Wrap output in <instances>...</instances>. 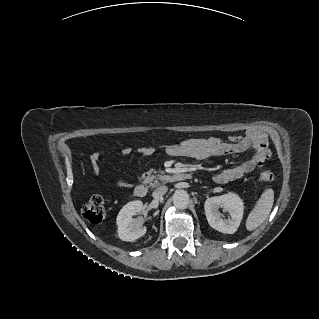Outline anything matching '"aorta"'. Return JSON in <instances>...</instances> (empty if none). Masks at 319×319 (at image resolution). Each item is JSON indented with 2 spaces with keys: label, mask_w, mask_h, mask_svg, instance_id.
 Listing matches in <instances>:
<instances>
[{
  "label": "aorta",
  "mask_w": 319,
  "mask_h": 319,
  "mask_svg": "<svg viewBox=\"0 0 319 319\" xmlns=\"http://www.w3.org/2000/svg\"><path fill=\"white\" fill-rule=\"evenodd\" d=\"M173 204L177 209H186L189 204V195L185 190H176L172 196Z\"/></svg>",
  "instance_id": "762f6f07"
}]
</instances>
